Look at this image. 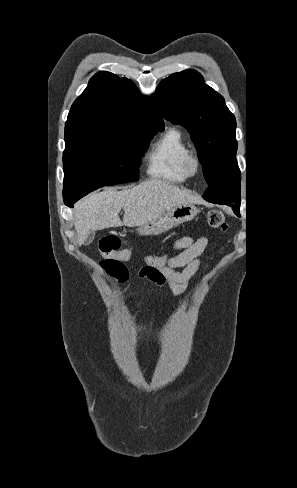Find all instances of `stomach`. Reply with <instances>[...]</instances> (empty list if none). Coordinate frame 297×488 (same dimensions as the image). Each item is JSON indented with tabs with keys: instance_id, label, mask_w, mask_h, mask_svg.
Listing matches in <instances>:
<instances>
[{
	"instance_id": "0dacf381",
	"label": "stomach",
	"mask_w": 297,
	"mask_h": 488,
	"mask_svg": "<svg viewBox=\"0 0 297 488\" xmlns=\"http://www.w3.org/2000/svg\"><path fill=\"white\" fill-rule=\"evenodd\" d=\"M199 210L191 203L176 205L151 222L139 226L138 233L142 236L159 235L168 230L193 220Z\"/></svg>"
}]
</instances>
